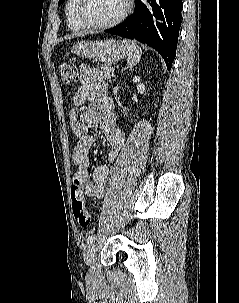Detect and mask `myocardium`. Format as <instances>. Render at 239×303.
Here are the masks:
<instances>
[{"label": "myocardium", "instance_id": "obj_1", "mask_svg": "<svg viewBox=\"0 0 239 303\" xmlns=\"http://www.w3.org/2000/svg\"><path fill=\"white\" fill-rule=\"evenodd\" d=\"M126 5L124 11L114 20L106 22V23H100V24H95L87 21L82 13V5L84 3V0H76L75 6H74V14L77 19V21L84 27L88 29H93V30H103V29H108L111 27H114L120 23H122L128 15L132 12L133 9V0H126Z\"/></svg>", "mask_w": 239, "mask_h": 303}]
</instances>
